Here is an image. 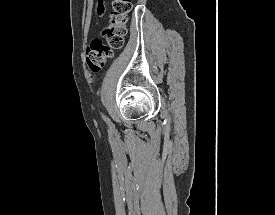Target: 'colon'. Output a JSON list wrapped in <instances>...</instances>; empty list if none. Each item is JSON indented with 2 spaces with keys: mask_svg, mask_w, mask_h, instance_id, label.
<instances>
[{
  "mask_svg": "<svg viewBox=\"0 0 275 215\" xmlns=\"http://www.w3.org/2000/svg\"><path fill=\"white\" fill-rule=\"evenodd\" d=\"M131 8V0H113L109 24L102 30L100 37L93 38L86 48V63L90 71H101L106 62L123 46Z\"/></svg>",
  "mask_w": 275,
  "mask_h": 215,
  "instance_id": "1",
  "label": "colon"
}]
</instances>
